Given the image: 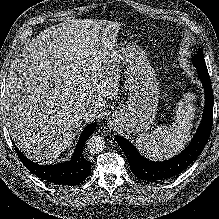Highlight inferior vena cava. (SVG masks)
I'll return each mask as SVG.
<instances>
[{
	"label": "inferior vena cava",
	"instance_id": "obj_1",
	"mask_svg": "<svg viewBox=\"0 0 219 219\" xmlns=\"http://www.w3.org/2000/svg\"><path fill=\"white\" fill-rule=\"evenodd\" d=\"M80 117L83 119H92L97 116V112L95 110L82 108L79 113Z\"/></svg>",
	"mask_w": 219,
	"mask_h": 219
}]
</instances>
